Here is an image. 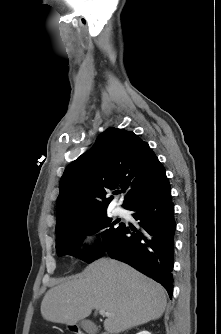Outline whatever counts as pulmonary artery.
Instances as JSON below:
<instances>
[{
	"mask_svg": "<svg viewBox=\"0 0 221 334\" xmlns=\"http://www.w3.org/2000/svg\"><path fill=\"white\" fill-rule=\"evenodd\" d=\"M114 213H115L116 215L121 216V215H124V214H125V211H124L121 207L116 206V207L114 208Z\"/></svg>",
	"mask_w": 221,
	"mask_h": 334,
	"instance_id": "pulmonary-artery-1",
	"label": "pulmonary artery"
}]
</instances>
